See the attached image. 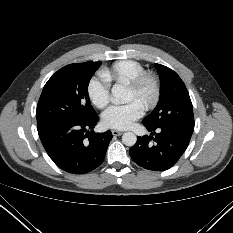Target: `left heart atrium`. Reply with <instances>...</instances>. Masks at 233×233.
Returning <instances> with one entry per match:
<instances>
[{
	"instance_id": "left-heart-atrium-1",
	"label": "left heart atrium",
	"mask_w": 233,
	"mask_h": 233,
	"mask_svg": "<svg viewBox=\"0 0 233 233\" xmlns=\"http://www.w3.org/2000/svg\"><path fill=\"white\" fill-rule=\"evenodd\" d=\"M143 111V105L137 100L114 105L103 114V123L109 128L125 130L142 116Z\"/></svg>"
}]
</instances>
